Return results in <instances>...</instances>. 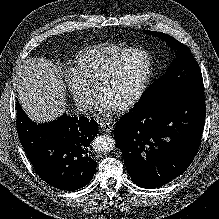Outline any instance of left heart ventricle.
Returning <instances> with one entry per match:
<instances>
[{
	"label": "left heart ventricle",
	"instance_id": "1",
	"mask_svg": "<svg viewBox=\"0 0 219 219\" xmlns=\"http://www.w3.org/2000/svg\"><path fill=\"white\" fill-rule=\"evenodd\" d=\"M148 67L149 60L144 54L126 60L105 87L102 98L112 107L127 102L138 90Z\"/></svg>",
	"mask_w": 219,
	"mask_h": 219
}]
</instances>
